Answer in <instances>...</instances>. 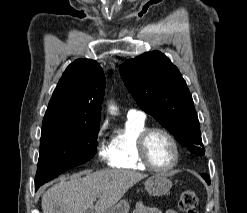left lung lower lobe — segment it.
I'll list each match as a JSON object with an SVG mask.
<instances>
[{
  "label": "left lung lower lobe",
  "instance_id": "1",
  "mask_svg": "<svg viewBox=\"0 0 247 213\" xmlns=\"http://www.w3.org/2000/svg\"><path fill=\"white\" fill-rule=\"evenodd\" d=\"M202 177L207 181L209 179V176L206 174H203Z\"/></svg>",
  "mask_w": 247,
  "mask_h": 213
}]
</instances>
